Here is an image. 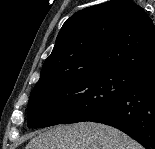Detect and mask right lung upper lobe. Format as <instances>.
Here are the masks:
<instances>
[{
    "mask_svg": "<svg viewBox=\"0 0 155 149\" xmlns=\"http://www.w3.org/2000/svg\"><path fill=\"white\" fill-rule=\"evenodd\" d=\"M112 70L141 75L155 72V25L143 8L130 0L87 7L67 19L39 81Z\"/></svg>",
    "mask_w": 155,
    "mask_h": 149,
    "instance_id": "cb5924a9",
    "label": "right lung upper lobe"
}]
</instances>
